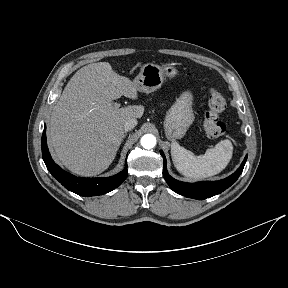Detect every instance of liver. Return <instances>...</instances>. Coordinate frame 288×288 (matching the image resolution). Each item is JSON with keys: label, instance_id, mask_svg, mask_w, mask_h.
Wrapping results in <instances>:
<instances>
[{"label": "liver", "instance_id": "obj_1", "mask_svg": "<svg viewBox=\"0 0 288 288\" xmlns=\"http://www.w3.org/2000/svg\"><path fill=\"white\" fill-rule=\"evenodd\" d=\"M122 95L135 100L137 88L108 62L82 67L67 83L51 113L48 138L56 157L73 173L105 171L123 140L124 123L142 117L143 106L114 107L112 101Z\"/></svg>", "mask_w": 288, "mask_h": 288}]
</instances>
